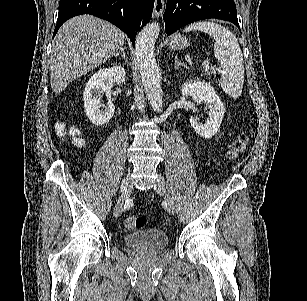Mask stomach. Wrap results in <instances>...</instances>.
<instances>
[{"instance_id":"1","label":"stomach","mask_w":307,"mask_h":301,"mask_svg":"<svg viewBox=\"0 0 307 301\" xmlns=\"http://www.w3.org/2000/svg\"><path fill=\"white\" fill-rule=\"evenodd\" d=\"M188 44V38H185L183 34H175L169 42V48H172V50H180V48H185Z\"/></svg>"}]
</instances>
